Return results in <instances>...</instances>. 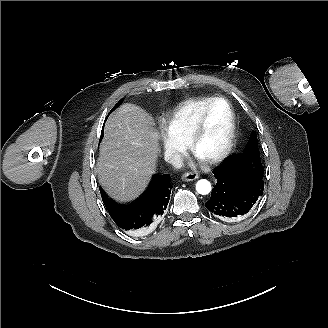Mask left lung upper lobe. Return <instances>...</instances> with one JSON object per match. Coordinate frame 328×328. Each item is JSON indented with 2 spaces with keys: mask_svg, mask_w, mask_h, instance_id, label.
<instances>
[{
  "mask_svg": "<svg viewBox=\"0 0 328 328\" xmlns=\"http://www.w3.org/2000/svg\"><path fill=\"white\" fill-rule=\"evenodd\" d=\"M241 155H243L249 159H252L254 157H259L257 136L255 133L252 134L251 139H250L248 145L246 146L244 153Z\"/></svg>",
  "mask_w": 328,
  "mask_h": 328,
  "instance_id": "obj_1",
  "label": "left lung upper lobe"
}]
</instances>
